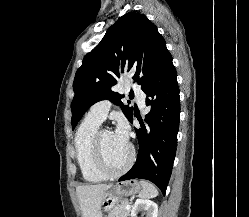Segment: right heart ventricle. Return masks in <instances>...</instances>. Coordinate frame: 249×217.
<instances>
[{
    "mask_svg": "<svg viewBox=\"0 0 249 217\" xmlns=\"http://www.w3.org/2000/svg\"><path fill=\"white\" fill-rule=\"evenodd\" d=\"M101 121L87 115L80 123L74 139L76 160L83 179L89 183L106 180L96 165L94 156V137Z\"/></svg>",
    "mask_w": 249,
    "mask_h": 217,
    "instance_id": "obj_1",
    "label": "right heart ventricle"
}]
</instances>
